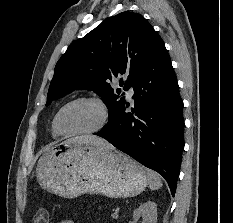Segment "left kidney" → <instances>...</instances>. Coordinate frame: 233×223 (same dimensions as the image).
<instances>
[{
  "label": "left kidney",
  "mask_w": 233,
  "mask_h": 223,
  "mask_svg": "<svg viewBox=\"0 0 233 223\" xmlns=\"http://www.w3.org/2000/svg\"><path fill=\"white\" fill-rule=\"evenodd\" d=\"M139 217H143L142 223H156L157 203H155V201H146V203H140L139 207L133 211L134 221H131V223L138 221Z\"/></svg>",
  "instance_id": "left-kidney-1"
}]
</instances>
